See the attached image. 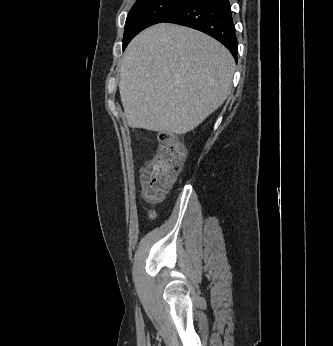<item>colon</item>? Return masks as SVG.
I'll use <instances>...</instances> for the list:
<instances>
[{"mask_svg": "<svg viewBox=\"0 0 333 346\" xmlns=\"http://www.w3.org/2000/svg\"><path fill=\"white\" fill-rule=\"evenodd\" d=\"M185 157L186 148L181 141L166 132L159 135L157 151L140 176L141 191L146 202L159 203L164 199Z\"/></svg>", "mask_w": 333, "mask_h": 346, "instance_id": "colon-1", "label": "colon"}]
</instances>
